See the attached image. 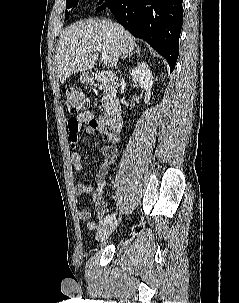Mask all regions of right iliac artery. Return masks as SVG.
<instances>
[{
	"mask_svg": "<svg viewBox=\"0 0 239 303\" xmlns=\"http://www.w3.org/2000/svg\"><path fill=\"white\" fill-rule=\"evenodd\" d=\"M113 218H115V213L106 216L103 220L100 221V225L104 226V225L110 223L113 220Z\"/></svg>",
	"mask_w": 239,
	"mask_h": 303,
	"instance_id": "obj_1",
	"label": "right iliac artery"
}]
</instances>
